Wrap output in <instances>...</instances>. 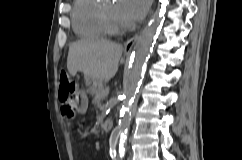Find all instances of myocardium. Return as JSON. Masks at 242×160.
Segmentation results:
<instances>
[{
    "mask_svg": "<svg viewBox=\"0 0 242 160\" xmlns=\"http://www.w3.org/2000/svg\"><path fill=\"white\" fill-rule=\"evenodd\" d=\"M97 13H98V21L104 34H107L110 36H117V35L123 34L127 30V27L125 26L121 28H117L111 25L101 5L98 6Z\"/></svg>",
    "mask_w": 242,
    "mask_h": 160,
    "instance_id": "1",
    "label": "myocardium"
}]
</instances>
